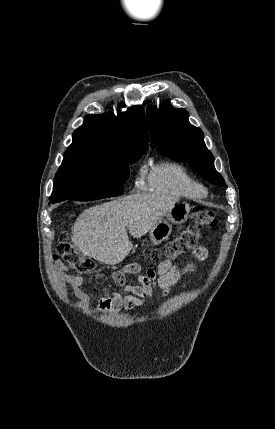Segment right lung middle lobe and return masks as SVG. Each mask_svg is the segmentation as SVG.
Returning a JSON list of instances; mask_svg holds the SVG:
<instances>
[{"label":"right lung middle lobe","mask_w":275,"mask_h":429,"mask_svg":"<svg viewBox=\"0 0 275 429\" xmlns=\"http://www.w3.org/2000/svg\"><path fill=\"white\" fill-rule=\"evenodd\" d=\"M141 154L64 159L56 173L51 201H90L121 195L130 173L128 165Z\"/></svg>","instance_id":"1"}]
</instances>
